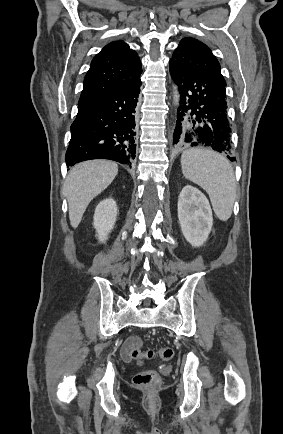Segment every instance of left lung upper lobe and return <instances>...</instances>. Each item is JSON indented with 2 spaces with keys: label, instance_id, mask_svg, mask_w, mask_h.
Listing matches in <instances>:
<instances>
[{
  "label": "left lung upper lobe",
  "instance_id": "1",
  "mask_svg": "<svg viewBox=\"0 0 283 434\" xmlns=\"http://www.w3.org/2000/svg\"><path fill=\"white\" fill-rule=\"evenodd\" d=\"M171 60L226 86L225 79L220 73L218 60L210 48L197 39L191 37L182 39L173 52Z\"/></svg>",
  "mask_w": 283,
  "mask_h": 434
}]
</instances>
